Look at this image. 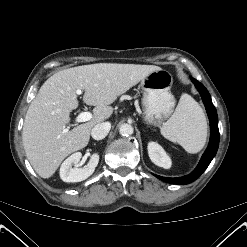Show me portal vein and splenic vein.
Returning <instances> with one entry per match:
<instances>
[{
    "label": "portal vein and splenic vein",
    "mask_w": 247,
    "mask_h": 247,
    "mask_svg": "<svg viewBox=\"0 0 247 247\" xmlns=\"http://www.w3.org/2000/svg\"><path fill=\"white\" fill-rule=\"evenodd\" d=\"M77 95H80L82 93V91L80 89H78L76 91ZM92 119V114L90 112H84L82 111L75 119L76 123H80V122H86ZM68 129L66 128L64 130V132H67Z\"/></svg>",
    "instance_id": "portal-vein-and-splenic-vein-1"
}]
</instances>
